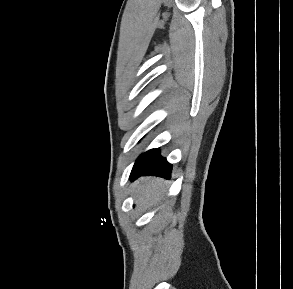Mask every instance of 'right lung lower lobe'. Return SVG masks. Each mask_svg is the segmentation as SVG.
<instances>
[{
  "instance_id": "1",
  "label": "right lung lower lobe",
  "mask_w": 293,
  "mask_h": 289,
  "mask_svg": "<svg viewBox=\"0 0 293 289\" xmlns=\"http://www.w3.org/2000/svg\"><path fill=\"white\" fill-rule=\"evenodd\" d=\"M141 175H156L170 178L171 164L166 159L160 157L159 149L149 150L136 160L130 177L136 178Z\"/></svg>"
}]
</instances>
